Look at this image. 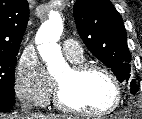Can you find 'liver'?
<instances>
[{
	"instance_id": "1",
	"label": "liver",
	"mask_w": 142,
	"mask_h": 119,
	"mask_svg": "<svg viewBox=\"0 0 142 119\" xmlns=\"http://www.w3.org/2000/svg\"><path fill=\"white\" fill-rule=\"evenodd\" d=\"M65 116H55L48 114H33V116H13V115H2L0 114V119H66Z\"/></svg>"
}]
</instances>
